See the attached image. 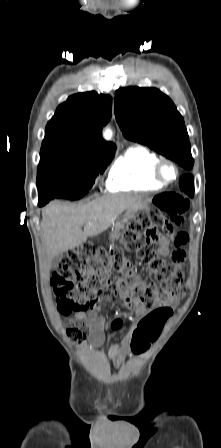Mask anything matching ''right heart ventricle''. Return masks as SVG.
<instances>
[{"label": "right heart ventricle", "mask_w": 221, "mask_h": 448, "mask_svg": "<svg viewBox=\"0 0 221 448\" xmlns=\"http://www.w3.org/2000/svg\"><path fill=\"white\" fill-rule=\"evenodd\" d=\"M159 157L141 146L128 148L111 166L106 186L110 191L159 190L164 185L153 177Z\"/></svg>", "instance_id": "e07e8e85"}]
</instances>
